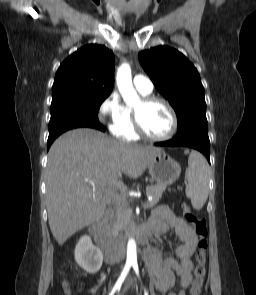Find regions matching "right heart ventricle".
<instances>
[{
	"label": "right heart ventricle",
	"mask_w": 256,
	"mask_h": 295,
	"mask_svg": "<svg viewBox=\"0 0 256 295\" xmlns=\"http://www.w3.org/2000/svg\"><path fill=\"white\" fill-rule=\"evenodd\" d=\"M141 93V92H140ZM142 95H148V94H143ZM125 113L127 116V120L125 125L118 130V132L114 133L117 137L125 140V141H135L138 139V135L135 133L134 128H133V122H132V111L131 108L125 106Z\"/></svg>",
	"instance_id": "e07e8e85"
}]
</instances>
